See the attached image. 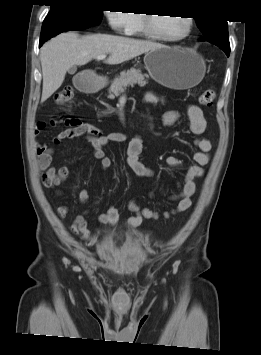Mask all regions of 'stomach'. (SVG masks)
<instances>
[{
    "mask_svg": "<svg viewBox=\"0 0 261 355\" xmlns=\"http://www.w3.org/2000/svg\"><path fill=\"white\" fill-rule=\"evenodd\" d=\"M145 67L150 77L161 85L183 90L198 85L206 72L204 59L188 48L161 47L146 53ZM105 80L91 75L86 88L97 89Z\"/></svg>",
    "mask_w": 261,
    "mask_h": 355,
    "instance_id": "obj_1",
    "label": "stomach"
}]
</instances>
